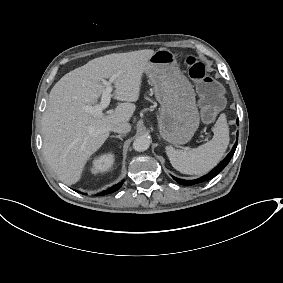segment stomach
I'll return each mask as SVG.
<instances>
[{
  "label": "stomach",
  "mask_w": 283,
  "mask_h": 283,
  "mask_svg": "<svg viewBox=\"0 0 283 283\" xmlns=\"http://www.w3.org/2000/svg\"><path fill=\"white\" fill-rule=\"evenodd\" d=\"M144 72L161 104L160 135L176 146L187 143L199 126V112L194 89L180 71L175 55L167 49L155 51Z\"/></svg>",
  "instance_id": "0dacf381"
}]
</instances>
